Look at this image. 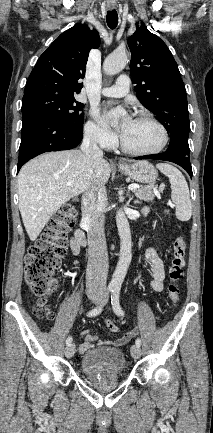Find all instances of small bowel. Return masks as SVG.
<instances>
[{"instance_id":"c3829d8e","label":"small bowel","mask_w":213,"mask_h":433,"mask_svg":"<svg viewBox=\"0 0 213 433\" xmlns=\"http://www.w3.org/2000/svg\"><path fill=\"white\" fill-rule=\"evenodd\" d=\"M70 248L74 255H78L80 252V245L76 242L74 238L70 241ZM145 259L149 265L151 272L150 285L153 291L161 292L164 289L165 271L164 264L156 250L152 247H148L145 251ZM81 335L84 340L79 346V351L81 353L86 352L93 347V344L98 340L97 337L91 334L88 330L82 331ZM134 335H136V330L133 329L126 333L123 337L118 339L115 344L123 345L128 342ZM105 344H110V342H105Z\"/></svg>"}]
</instances>
